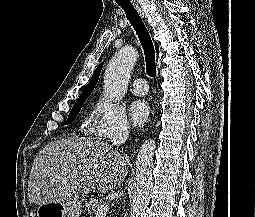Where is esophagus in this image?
I'll return each mask as SVG.
<instances>
[{"mask_svg":"<svg viewBox=\"0 0 255 217\" xmlns=\"http://www.w3.org/2000/svg\"><path fill=\"white\" fill-rule=\"evenodd\" d=\"M135 7H136L137 11L139 12V14H140L141 16H143V12H142L140 6H139L138 4H135Z\"/></svg>","mask_w":255,"mask_h":217,"instance_id":"1","label":"esophagus"}]
</instances>
